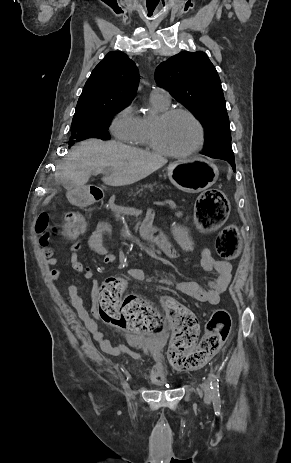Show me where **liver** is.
Here are the masks:
<instances>
[{
    "mask_svg": "<svg viewBox=\"0 0 291 463\" xmlns=\"http://www.w3.org/2000/svg\"><path fill=\"white\" fill-rule=\"evenodd\" d=\"M166 163L167 160L158 154L116 141L89 139L68 152L55 178L63 184L85 187L92 174L108 168L111 174L104 176L102 181L111 186H125L147 177ZM52 196L43 204H48Z\"/></svg>",
    "mask_w": 291,
    "mask_h": 463,
    "instance_id": "1",
    "label": "liver"
}]
</instances>
